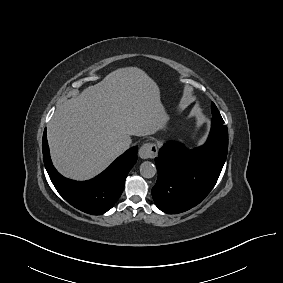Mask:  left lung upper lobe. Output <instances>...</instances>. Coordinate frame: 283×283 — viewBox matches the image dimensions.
<instances>
[{"label": "left lung upper lobe", "instance_id": "obj_1", "mask_svg": "<svg viewBox=\"0 0 283 283\" xmlns=\"http://www.w3.org/2000/svg\"><path fill=\"white\" fill-rule=\"evenodd\" d=\"M211 109H212L213 118L216 119L219 122L224 123V121H223V119H222V117H221V115H220V113H219V111H218V109H217V107L215 106L214 103H212Z\"/></svg>", "mask_w": 283, "mask_h": 283}]
</instances>
